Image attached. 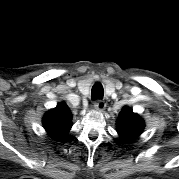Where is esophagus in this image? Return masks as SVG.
Returning a JSON list of instances; mask_svg holds the SVG:
<instances>
[{"label":"esophagus","instance_id":"1","mask_svg":"<svg viewBox=\"0 0 179 179\" xmlns=\"http://www.w3.org/2000/svg\"><path fill=\"white\" fill-rule=\"evenodd\" d=\"M106 107V103L102 100H97L94 102V109L98 111H103Z\"/></svg>","mask_w":179,"mask_h":179}]
</instances>
